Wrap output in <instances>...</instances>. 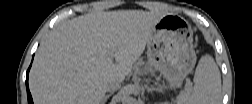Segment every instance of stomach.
I'll return each mask as SVG.
<instances>
[{
	"mask_svg": "<svg viewBox=\"0 0 252 104\" xmlns=\"http://www.w3.org/2000/svg\"><path fill=\"white\" fill-rule=\"evenodd\" d=\"M146 54L149 65L160 71L170 86H181L196 63L190 24L178 16L162 17L147 43Z\"/></svg>",
	"mask_w": 252,
	"mask_h": 104,
	"instance_id": "0dacf381",
	"label": "stomach"
}]
</instances>
